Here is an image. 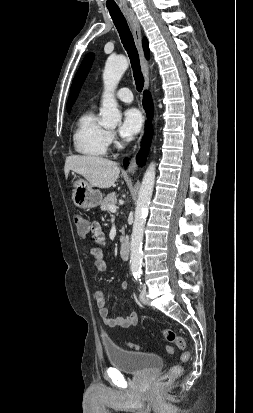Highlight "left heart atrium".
<instances>
[{
	"label": "left heart atrium",
	"instance_id": "left-heart-atrium-1",
	"mask_svg": "<svg viewBox=\"0 0 253 413\" xmlns=\"http://www.w3.org/2000/svg\"><path fill=\"white\" fill-rule=\"evenodd\" d=\"M142 122L143 118L139 110L136 108L125 110L119 126L121 138L126 141L133 139L141 130Z\"/></svg>",
	"mask_w": 253,
	"mask_h": 413
}]
</instances>
